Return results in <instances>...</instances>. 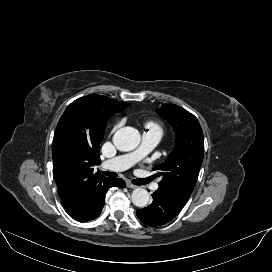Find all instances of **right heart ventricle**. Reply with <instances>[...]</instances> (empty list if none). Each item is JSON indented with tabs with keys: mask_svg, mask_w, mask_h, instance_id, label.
I'll use <instances>...</instances> for the list:
<instances>
[{
	"mask_svg": "<svg viewBox=\"0 0 272 272\" xmlns=\"http://www.w3.org/2000/svg\"><path fill=\"white\" fill-rule=\"evenodd\" d=\"M146 127L148 129H154V130H159L160 129L159 125L157 123H155V122H152V121L147 122Z\"/></svg>",
	"mask_w": 272,
	"mask_h": 272,
	"instance_id": "obj_1",
	"label": "right heart ventricle"
}]
</instances>
